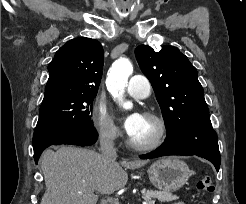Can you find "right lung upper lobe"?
<instances>
[{"mask_svg":"<svg viewBox=\"0 0 246 204\" xmlns=\"http://www.w3.org/2000/svg\"><path fill=\"white\" fill-rule=\"evenodd\" d=\"M103 62V48L97 40L80 37L68 41L48 65L43 101L67 94H97Z\"/></svg>","mask_w":246,"mask_h":204,"instance_id":"obj_1","label":"right lung upper lobe"}]
</instances>
